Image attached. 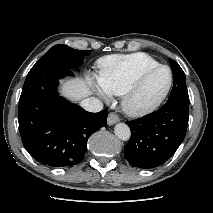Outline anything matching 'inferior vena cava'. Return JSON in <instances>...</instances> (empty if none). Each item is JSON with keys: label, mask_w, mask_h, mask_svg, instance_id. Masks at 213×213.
<instances>
[{"label": "inferior vena cava", "mask_w": 213, "mask_h": 213, "mask_svg": "<svg viewBox=\"0 0 213 213\" xmlns=\"http://www.w3.org/2000/svg\"><path fill=\"white\" fill-rule=\"evenodd\" d=\"M80 106L89 112H99L103 109L102 102L94 97L86 98L81 101Z\"/></svg>", "instance_id": "obj_1"}]
</instances>
